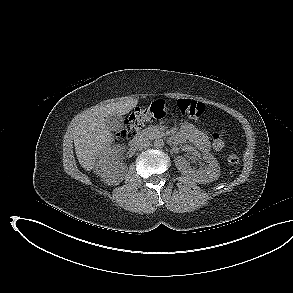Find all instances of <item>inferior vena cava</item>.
Instances as JSON below:
<instances>
[{
	"label": "inferior vena cava",
	"instance_id": "obj_1",
	"mask_svg": "<svg viewBox=\"0 0 293 293\" xmlns=\"http://www.w3.org/2000/svg\"><path fill=\"white\" fill-rule=\"evenodd\" d=\"M150 146V141L147 139H139L133 144V148L137 150H142Z\"/></svg>",
	"mask_w": 293,
	"mask_h": 293
}]
</instances>
